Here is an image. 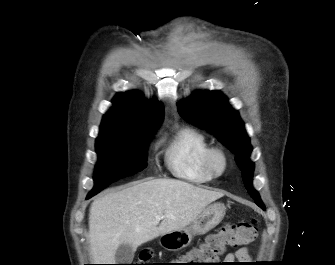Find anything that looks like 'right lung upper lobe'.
I'll return each instance as SVG.
<instances>
[{
    "instance_id": "1",
    "label": "right lung upper lobe",
    "mask_w": 335,
    "mask_h": 265,
    "mask_svg": "<svg viewBox=\"0 0 335 265\" xmlns=\"http://www.w3.org/2000/svg\"><path fill=\"white\" fill-rule=\"evenodd\" d=\"M114 107L104 115L100 133L118 129L158 126L164 116L163 105L147 101L139 92H121L113 100Z\"/></svg>"
}]
</instances>
